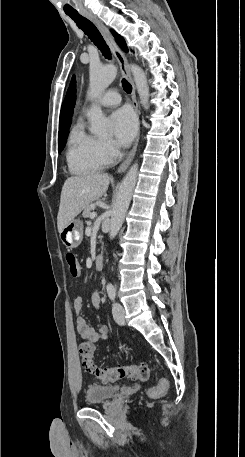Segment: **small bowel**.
I'll list each match as a JSON object with an SVG mask.
<instances>
[{
  "mask_svg": "<svg viewBox=\"0 0 245 457\" xmlns=\"http://www.w3.org/2000/svg\"><path fill=\"white\" fill-rule=\"evenodd\" d=\"M91 302L95 307H98L100 304V295L98 291L93 292L91 296ZM83 300L80 297H77L73 302V307L76 313H80L82 310ZM77 331L79 335L91 342H97L99 340H107L109 338V328L107 326H102L98 330L92 328L89 323L82 317L77 318Z\"/></svg>",
  "mask_w": 245,
  "mask_h": 457,
  "instance_id": "obj_1",
  "label": "small bowel"
}]
</instances>
